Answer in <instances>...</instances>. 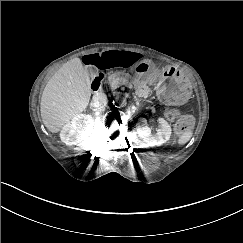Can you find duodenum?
I'll return each instance as SVG.
<instances>
[{"mask_svg": "<svg viewBox=\"0 0 243 243\" xmlns=\"http://www.w3.org/2000/svg\"><path fill=\"white\" fill-rule=\"evenodd\" d=\"M103 78H104L103 73H99L96 76H94L91 80V89L94 91L97 90Z\"/></svg>", "mask_w": 243, "mask_h": 243, "instance_id": "1", "label": "duodenum"}]
</instances>
